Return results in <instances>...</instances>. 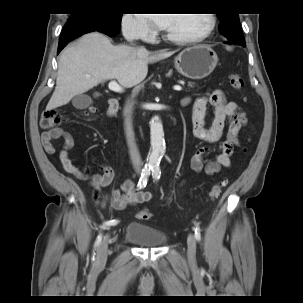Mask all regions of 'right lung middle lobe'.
Returning <instances> with one entry per match:
<instances>
[{
  "mask_svg": "<svg viewBox=\"0 0 303 303\" xmlns=\"http://www.w3.org/2000/svg\"><path fill=\"white\" fill-rule=\"evenodd\" d=\"M79 18H94L121 23L122 14L105 12H82L77 14H71V18L69 21Z\"/></svg>",
  "mask_w": 303,
  "mask_h": 303,
  "instance_id": "1",
  "label": "right lung middle lobe"
}]
</instances>
